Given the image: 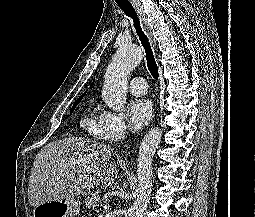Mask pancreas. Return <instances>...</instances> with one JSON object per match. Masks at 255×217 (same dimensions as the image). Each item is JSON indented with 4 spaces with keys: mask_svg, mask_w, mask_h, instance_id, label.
<instances>
[{
    "mask_svg": "<svg viewBox=\"0 0 255 217\" xmlns=\"http://www.w3.org/2000/svg\"><path fill=\"white\" fill-rule=\"evenodd\" d=\"M84 203L88 209H95L99 204H101V199L98 192H93L85 198Z\"/></svg>",
    "mask_w": 255,
    "mask_h": 217,
    "instance_id": "1",
    "label": "pancreas"
}]
</instances>
